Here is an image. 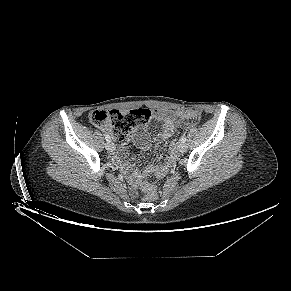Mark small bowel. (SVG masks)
<instances>
[{
    "instance_id": "obj_1",
    "label": "small bowel",
    "mask_w": 291,
    "mask_h": 291,
    "mask_svg": "<svg viewBox=\"0 0 291 291\" xmlns=\"http://www.w3.org/2000/svg\"><path fill=\"white\" fill-rule=\"evenodd\" d=\"M153 118L161 123L163 126L162 131L154 138L153 141L157 145H166L173 136L175 130L173 114L166 110H156L153 113ZM132 136L136 145L139 146L141 149L145 150L150 146V138L147 132L143 130H138L135 131ZM166 167H168V162L162 167L152 165L146 169L145 173L161 176L165 173L163 171L166 169ZM140 179L141 176L138 173L133 174V183H138Z\"/></svg>"
}]
</instances>
